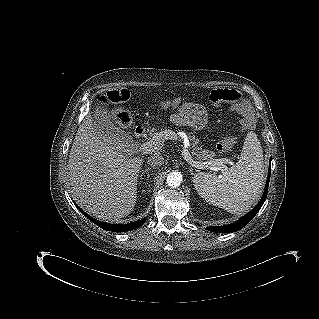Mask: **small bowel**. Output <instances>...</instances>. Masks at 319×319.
I'll return each instance as SVG.
<instances>
[{"label":"small bowel","mask_w":319,"mask_h":319,"mask_svg":"<svg viewBox=\"0 0 319 319\" xmlns=\"http://www.w3.org/2000/svg\"><path fill=\"white\" fill-rule=\"evenodd\" d=\"M173 120H174V121H177V117H176V116H175V117H173Z\"/></svg>","instance_id":"small-bowel-1"}]
</instances>
